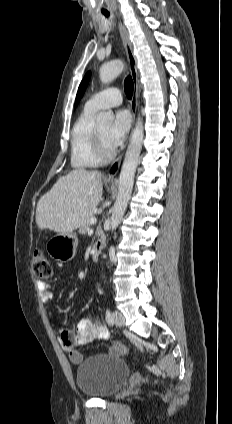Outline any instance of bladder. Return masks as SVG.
<instances>
[{
    "instance_id": "obj_1",
    "label": "bladder",
    "mask_w": 232,
    "mask_h": 424,
    "mask_svg": "<svg viewBox=\"0 0 232 424\" xmlns=\"http://www.w3.org/2000/svg\"><path fill=\"white\" fill-rule=\"evenodd\" d=\"M130 373V368L123 359L94 355L78 366L76 384L85 396L107 398L126 384Z\"/></svg>"
}]
</instances>
